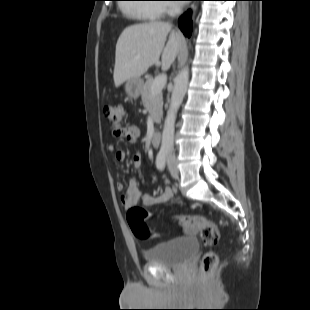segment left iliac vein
Wrapping results in <instances>:
<instances>
[{
  "label": "left iliac vein",
  "mask_w": 310,
  "mask_h": 310,
  "mask_svg": "<svg viewBox=\"0 0 310 310\" xmlns=\"http://www.w3.org/2000/svg\"><path fill=\"white\" fill-rule=\"evenodd\" d=\"M167 165L170 174L172 175L173 178H178L179 177V169L177 167V160L174 155H169L167 159Z\"/></svg>",
  "instance_id": "4c4485c4"
}]
</instances>
